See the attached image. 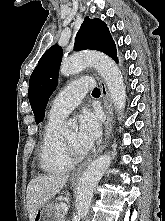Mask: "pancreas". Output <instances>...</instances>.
I'll list each match as a JSON object with an SVG mask.
<instances>
[{
	"mask_svg": "<svg viewBox=\"0 0 165 221\" xmlns=\"http://www.w3.org/2000/svg\"><path fill=\"white\" fill-rule=\"evenodd\" d=\"M61 205V202L55 203L54 205V212L56 214L57 221H63L64 211Z\"/></svg>",
	"mask_w": 165,
	"mask_h": 221,
	"instance_id": "obj_1",
	"label": "pancreas"
}]
</instances>
